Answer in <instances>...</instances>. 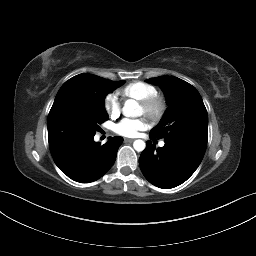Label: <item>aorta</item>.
I'll list each match as a JSON object with an SVG mask.
<instances>
[{"label": "aorta", "mask_w": 256, "mask_h": 256, "mask_svg": "<svg viewBox=\"0 0 256 256\" xmlns=\"http://www.w3.org/2000/svg\"><path fill=\"white\" fill-rule=\"evenodd\" d=\"M123 115L126 117H138L141 115V109L139 104L132 99H129L125 102L123 108H122ZM133 147L137 152H142L146 144L143 140H135L133 143Z\"/></svg>", "instance_id": "762f6f07"}]
</instances>
